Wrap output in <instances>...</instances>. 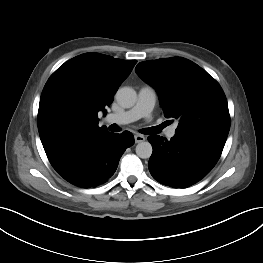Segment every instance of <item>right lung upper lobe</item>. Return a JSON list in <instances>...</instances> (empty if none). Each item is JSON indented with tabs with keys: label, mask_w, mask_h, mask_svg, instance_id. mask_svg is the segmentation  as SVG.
I'll return each mask as SVG.
<instances>
[{
	"label": "right lung upper lobe",
	"mask_w": 263,
	"mask_h": 263,
	"mask_svg": "<svg viewBox=\"0 0 263 263\" xmlns=\"http://www.w3.org/2000/svg\"><path fill=\"white\" fill-rule=\"evenodd\" d=\"M136 62L85 53L61 65L48 79L40 98L37 123L43 146L85 131L106 129L98 126V112L106 114L105 108ZM63 107L77 115L71 129L57 120Z\"/></svg>",
	"instance_id": "1"
}]
</instances>
